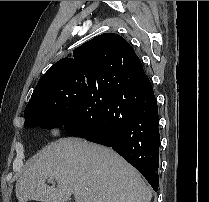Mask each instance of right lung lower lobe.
I'll return each mask as SVG.
<instances>
[{
	"label": "right lung lower lobe",
	"mask_w": 209,
	"mask_h": 202,
	"mask_svg": "<svg viewBox=\"0 0 209 202\" xmlns=\"http://www.w3.org/2000/svg\"><path fill=\"white\" fill-rule=\"evenodd\" d=\"M63 127L71 136L113 148L158 190V107L139 58L126 70L96 77L81 109Z\"/></svg>",
	"instance_id": "98d812e1"
}]
</instances>
